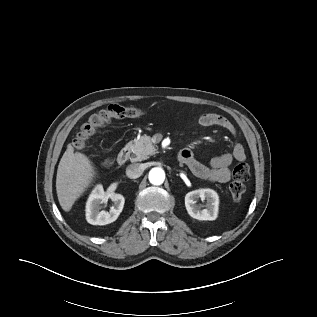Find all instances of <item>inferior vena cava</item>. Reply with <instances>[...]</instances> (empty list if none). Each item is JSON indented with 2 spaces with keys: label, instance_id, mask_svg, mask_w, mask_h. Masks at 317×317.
Listing matches in <instances>:
<instances>
[{
  "label": "inferior vena cava",
  "instance_id": "1",
  "mask_svg": "<svg viewBox=\"0 0 317 317\" xmlns=\"http://www.w3.org/2000/svg\"><path fill=\"white\" fill-rule=\"evenodd\" d=\"M144 167L140 164H131L126 168V175L131 179H136L142 175Z\"/></svg>",
  "mask_w": 317,
  "mask_h": 317
}]
</instances>
